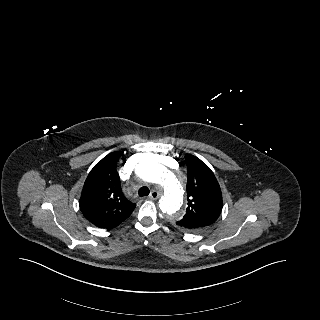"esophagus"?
Masks as SVG:
<instances>
[{
	"label": "esophagus",
	"mask_w": 320,
	"mask_h": 320,
	"mask_svg": "<svg viewBox=\"0 0 320 320\" xmlns=\"http://www.w3.org/2000/svg\"><path fill=\"white\" fill-rule=\"evenodd\" d=\"M159 196H160V193L158 191L152 190L148 198L151 199V200H155Z\"/></svg>",
	"instance_id": "34e87169"
}]
</instances>
